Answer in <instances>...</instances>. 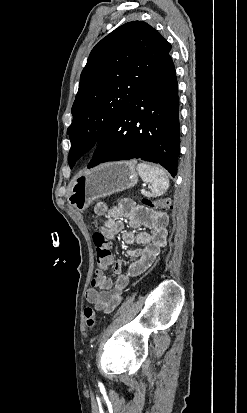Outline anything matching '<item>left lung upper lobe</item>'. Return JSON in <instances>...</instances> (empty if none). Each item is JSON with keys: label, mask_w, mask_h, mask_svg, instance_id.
<instances>
[{"label": "left lung upper lobe", "mask_w": 247, "mask_h": 413, "mask_svg": "<svg viewBox=\"0 0 247 413\" xmlns=\"http://www.w3.org/2000/svg\"><path fill=\"white\" fill-rule=\"evenodd\" d=\"M170 50L171 44L143 21L118 27L93 48L80 76L67 130L70 167L101 142Z\"/></svg>", "instance_id": "left-lung-upper-lobe-1"}]
</instances>
